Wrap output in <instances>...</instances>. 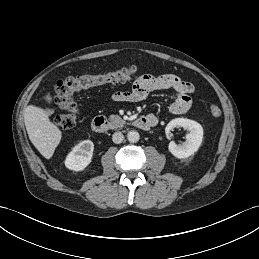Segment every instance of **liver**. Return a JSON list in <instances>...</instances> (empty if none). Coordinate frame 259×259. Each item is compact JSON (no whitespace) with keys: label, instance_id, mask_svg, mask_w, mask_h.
<instances>
[{"label":"liver","instance_id":"1","mask_svg":"<svg viewBox=\"0 0 259 259\" xmlns=\"http://www.w3.org/2000/svg\"><path fill=\"white\" fill-rule=\"evenodd\" d=\"M24 122L30 141L46 159H50L62 137L60 129L50 121L47 113L29 105L24 111Z\"/></svg>","mask_w":259,"mask_h":259}]
</instances>
